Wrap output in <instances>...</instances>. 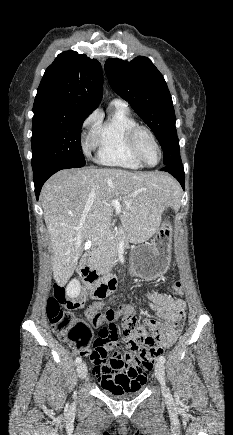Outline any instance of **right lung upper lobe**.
<instances>
[{
	"mask_svg": "<svg viewBox=\"0 0 233 435\" xmlns=\"http://www.w3.org/2000/svg\"><path fill=\"white\" fill-rule=\"evenodd\" d=\"M103 75L96 59L65 51L46 69L33 106L34 117L89 115L102 98Z\"/></svg>",
	"mask_w": 233,
	"mask_h": 435,
	"instance_id": "right-lung-upper-lobe-1",
	"label": "right lung upper lobe"
}]
</instances>
